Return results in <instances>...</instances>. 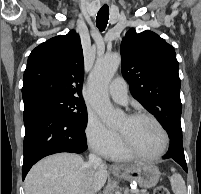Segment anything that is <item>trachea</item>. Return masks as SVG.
<instances>
[{"label": "trachea", "instance_id": "1", "mask_svg": "<svg viewBox=\"0 0 201 194\" xmlns=\"http://www.w3.org/2000/svg\"><path fill=\"white\" fill-rule=\"evenodd\" d=\"M109 20V7L105 4L103 5L96 17V25L100 31H104Z\"/></svg>", "mask_w": 201, "mask_h": 194}]
</instances>
